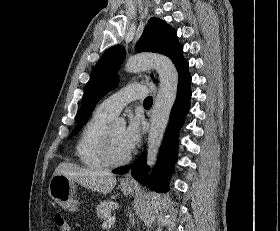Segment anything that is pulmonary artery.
<instances>
[{"mask_svg":"<svg viewBox=\"0 0 280 231\" xmlns=\"http://www.w3.org/2000/svg\"><path fill=\"white\" fill-rule=\"evenodd\" d=\"M147 94L148 89L145 86L137 83L130 84L103 100L96 110L114 117L127 104L135 100H142Z\"/></svg>","mask_w":280,"mask_h":231,"instance_id":"pulmonary-artery-1","label":"pulmonary artery"}]
</instances>
